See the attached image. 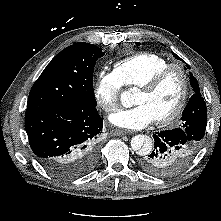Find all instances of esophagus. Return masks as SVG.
<instances>
[{"mask_svg": "<svg viewBox=\"0 0 221 221\" xmlns=\"http://www.w3.org/2000/svg\"><path fill=\"white\" fill-rule=\"evenodd\" d=\"M126 133H127V132L124 131V130H115V131L113 132V134L116 135V136L124 135V134H126Z\"/></svg>", "mask_w": 221, "mask_h": 221, "instance_id": "esophagus-1", "label": "esophagus"}]
</instances>
